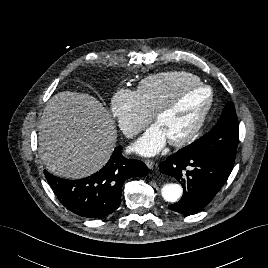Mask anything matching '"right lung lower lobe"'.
Here are the masks:
<instances>
[{
	"label": "right lung lower lobe",
	"mask_w": 268,
	"mask_h": 268,
	"mask_svg": "<svg viewBox=\"0 0 268 268\" xmlns=\"http://www.w3.org/2000/svg\"><path fill=\"white\" fill-rule=\"evenodd\" d=\"M115 148L108 163L95 174L79 180H65L44 170L59 201L70 211L87 218H101L115 211L121 201V187L130 177L146 176L147 166L122 156Z\"/></svg>",
	"instance_id": "1"
}]
</instances>
